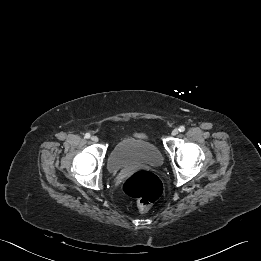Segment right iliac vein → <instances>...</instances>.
I'll return each instance as SVG.
<instances>
[{
  "label": "right iliac vein",
  "instance_id": "right-iliac-vein-1",
  "mask_svg": "<svg viewBox=\"0 0 261 261\" xmlns=\"http://www.w3.org/2000/svg\"><path fill=\"white\" fill-rule=\"evenodd\" d=\"M91 140H92L93 142H98L99 139H98L97 136H92V137H91Z\"/></svg>",
  "mask_w": 261,
  "mask_h": 261
}]
</instances>
